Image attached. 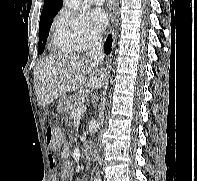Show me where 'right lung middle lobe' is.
Wrapping results in <instances>:
<instances>
[{"label":"right lung middle lobe","mask_w":197,"mask_h":181,"mask_svg":"<svg viewBox=\"0 0 197 181\" xmlns=\"http://www.w3.org/2000/svg\"><path fill=\"white\" fill-rule=\"evenodd\" d=\"M55 15L56 14H49V15L40 17L38 54H42L45 49L46 40L49 35V30H50V27H51V24Z\"/></svg>","instance_id":"1"}]
</instances>
